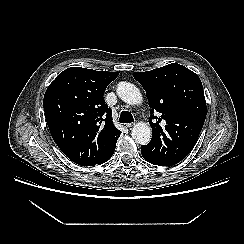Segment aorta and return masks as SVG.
<instances>
[{
  "mask_svg": "<svg viewBox=\"0 0 244 244\" xmlns=\"http://www.w3.org/2000/svg\"><path fill=\"white\" fill-rule=\"evenodd\" d=\"M118 96L127 104L138 105L142 102L140 90L132 83L120 82L116 90ZM132 138L140 145L147 144L152 136V130L148 123L138 122L132 128Z\"/></svg>",
  "mask_w": 244,
  "mask_h": 244,
  "instance_id": "aorta-1",
  "label": "aorta"
}]
</instances>
